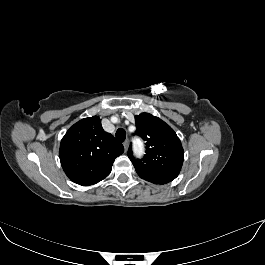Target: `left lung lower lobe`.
Instances as JSON below:
<instances>
[{
  "instance_id": "1",
  "label": "left lung lower lobe",
  "mask_w": 265,
  "mask_h": 265,
  "mask_svg": "<svg viewBox=\"0 0 265 265\" xmlns=\"http://www.w3.org/2000/svg\"><path fill=\"white\" fill-rule=\"evenodd\" d=\"M152 183H155V184H165V183H160V182H152Z\"/></svg>"
}]
</instances>
